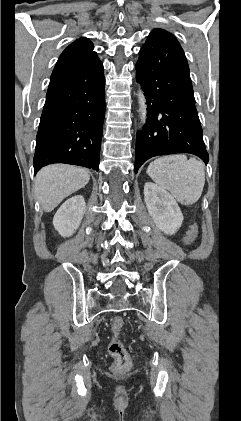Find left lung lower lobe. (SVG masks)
I'll use <instances>...</instances> for the list:
<instances>
[{
  "mask_svg": "<svg viewBox=\"0 0 241 421\" xmlns=\"http://www.w3.org/2000/svg\"><path fill=\"white\" fill-rule=\"evenodd\" d=\"M136 78L147 99V121L138 133L135 173L149 158L190 153L209 160L195 107L189 67L179 42L154 30L140 49Z\"/></svg>",
  "mask_w": 241,
  "mask_h": 421,
  "instance_id": "obj_1",
  "label": "left lung lower lobe"
}]
</instances>
